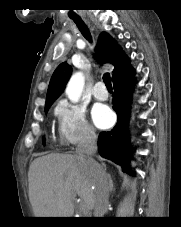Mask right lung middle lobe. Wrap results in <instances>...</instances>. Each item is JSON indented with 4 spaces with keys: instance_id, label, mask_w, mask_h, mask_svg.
I'll return each mask as SVG.
<instances>
[{
    "instance_id": "1",
    "label": "right lung middle lobe",
    "mask_w": 181,
    "mask_h": 227,
    "mask_svg": "<svg viewBox=\"0 0 181 227\" xmlns=\"http://www.w3.org/2000/svg\"><path fill=\"white\" fill-rule=\"evenodd\" d=\"M51 106V104H49V105H45V112H47L48 111V109H49V107ZM43 144H44V139H43Z\"/></svg>"
}]
</instances>
